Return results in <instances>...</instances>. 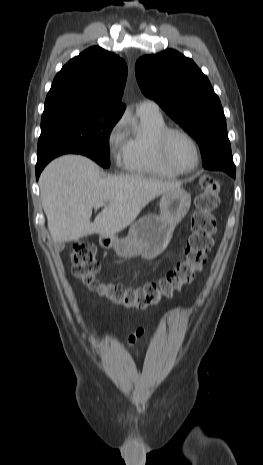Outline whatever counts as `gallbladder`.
<instances>
[{"instance_id": "1", "label": "gallbladder", "mask_w": 263, "mask_h": 465, "mask_svg": "<svg viewBox=\"0 0 263 465\" xmlns=\"http://www.w3.org/2000/svg\"><path fill=\"white\" fill-rule=\"evenodd\" d=\"M55 249L58 251H62L64 249V243L63 242H58L55 244Z\"/></svg>"}]
</instances>
